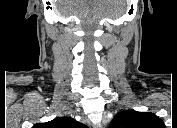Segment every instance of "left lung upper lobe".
Wrapping results in <instances>:
<instances>
[{"label":"left lung upper lobe","instance_id":"obj_1","mask_svg":"<svg viewBox=\"0 0 177 128\" xmlns=\"http://www.w3.org/2000/svg\"><path fill=\"white\" fill-rule=\"evenodd\" d=\"M163 125L153 113L126 110L115 115L109 128H159Z\"/></svg>","mask_w":177,"mask_h":128}]
</instances>
